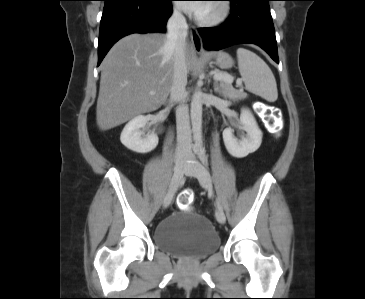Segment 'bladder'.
<instances>
[{
	"label": "bladder",
	"mask_w": 365,
	"mask_h": 299,
	"mask_svg": "<svg viewBox=\"0 0 365 299\" xmlns=\"http://www.w3.org/2000/svg\"><path fill=\"white\" fill-rule=\"evenodd\" d=\"M152 237L160 250L184 258L204 257L220 246L219 235L209 219L181 209L161 220Z\"/></svg>",
	"instance_id": "1"
}]
</instances>
